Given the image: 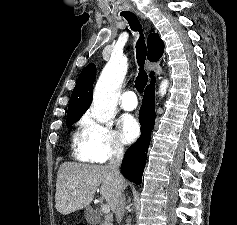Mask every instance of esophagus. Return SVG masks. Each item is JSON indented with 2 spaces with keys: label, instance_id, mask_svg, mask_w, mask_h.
Returning <instances> with one entry per match:
<instances>
[{
  "label": "esophagus",
  "instance_id": "1",
  "mask_svg": "<svg viewBox=\"0 0 237 225\" xmlns=\"http://www.w3.org/2000/svg\"><path fill=\"white\" fill-rule=\"evenodd\" d=\"M135 13L141 18V19H144V16L142 15V13L141 12H139V11H135Z\"/></svg>",
  "mask_w": 237,
  "mask_h": 225
}]
</instances>
